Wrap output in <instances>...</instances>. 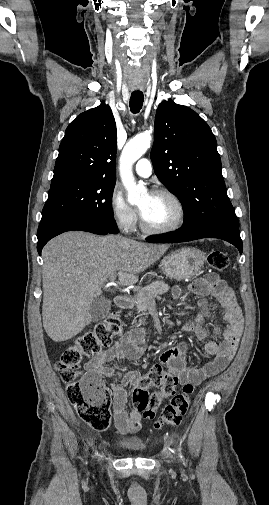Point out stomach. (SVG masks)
Wrapping results in <instances>:
<instances>
[{
    "label": "stomach",
    "mask_w": 269,
    "mask_h": 505,
    "mask_svg": "<svg viewBox=\"0 0 269 505\" xmlns=\"http://www.w3.org/2000/svg\"><path fill=\"white\" fill-rule=\"evenodd\" d=\"M205 253L197 248H182L165 256L160 264L163 273L174 280H185L203 268Z\"/></svg>",
    "instance_id": "0dacf381"
}]
</instances>
